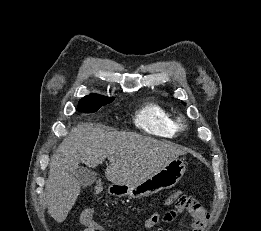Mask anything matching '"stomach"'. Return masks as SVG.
Returning <instances> with one entry per match:
<instances>
[{"label": "stomach", "instance_id": "1", "mask_svg": "<svg viewBox=\"0 0 261 231\" xmlns=\"http://www.w3.org/2000/svg\"><path fill=\"white\" fill-rule=\"evenodd\" d=\"M186 165L182 158H175L160 171L146 179L133 184H115L109 187V192L118 196L131 198H144L153 195L163 189L175 186L183 177Z\"/></svg>", "mask_w": 261, "mask_h": 231}]
</instances>
